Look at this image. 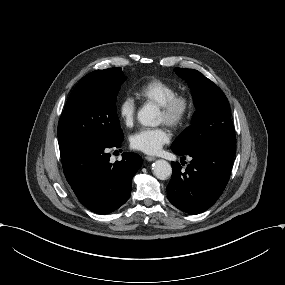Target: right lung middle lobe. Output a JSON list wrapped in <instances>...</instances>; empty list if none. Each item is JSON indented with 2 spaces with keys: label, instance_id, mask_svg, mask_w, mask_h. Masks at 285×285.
I'll return each mask as SVG.
<instances>
[{
  "label": "right lung middle lobe",
  "instance_id": "1",
  "mask_svg": "<svg viewBox=\"0 0 285 285\" xmlns=\"http://www.w3.org/2000/svg\"><path fill=\"white\" fill-rule=\"evenodd\" d=\"M126 80L120 67L84 76L72 91L58 124L59 147L123 141L116 98Z\"/></svg>",
  "mask_w": 285,
  "mask_h": 285
}]
</instances>
